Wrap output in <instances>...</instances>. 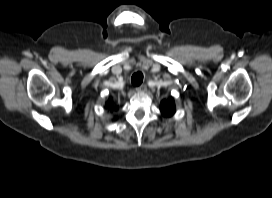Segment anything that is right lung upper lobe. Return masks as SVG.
Returning <instances> with one entry per match:
<instances>
[{"mask_svg": "<svg viewBox=\"0 0 272 198\" xmlns=\"http://www.w3.org/2000/svg\"><path fill=\"white\" fill-rule=\"evenodd\" d=\"M108 105H110V106L113 107L112 102H111V98L107 101V106H108Z\"/></svg>", "mask_w": 272, "mask_h": 198, "instance_id": "obj_1", "label": "right lung upper lobe"}]
</instances>
